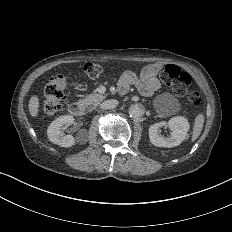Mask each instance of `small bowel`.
<instances>
[{"label":"small bowel","mask_w":232,"mask_h":232,"mask_svg":"<svg viewBox=\"0 0 232 232\" xmlns=\"http://www.w3.org/2000/svg\"><path fill=\"white\" fill-rule=\"evenodd\" d=\"M158 71L159 66L152 64L146 67L139 78L131 71H126L124 76L128 80L137 83L143 96L152 97L160 89V82L156 78Z\"/></svg>","instance_id":"small-bowel-1"}]
</instances>
